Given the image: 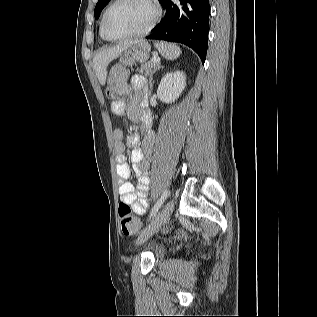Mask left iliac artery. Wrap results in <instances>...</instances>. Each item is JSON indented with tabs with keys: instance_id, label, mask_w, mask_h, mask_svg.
Here are the masks:
<instances>
[{
	"instance_id": "44dca946",
	"label": "left iliac artery",
	"mask_w": 317,
	"mask_h": 317,
	"mask_svg": "<svg viewBox=\"0 0 317 317\" xmlns=\"http://www.w3.org/2000/svg\"><path fill=\"white\" fill-rule=\"evenodd\" d=\"M170 195V192L168 190H165L161 197L158 199V201L155 203L154 207L151 210L149 218L153 217L156 215L158 210L160 209L161 205L164 203L166 198Z\"/></svg>"
}]
</instances>
